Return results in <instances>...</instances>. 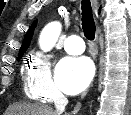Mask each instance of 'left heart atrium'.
Listing matches in <instances>:
<instances>
[{"label": "left heart atrium", "mask_w": 131, "mask_h": 115, "mask_svg": "<svg viewBox=\"0 0 131 115\" xmlns=\"http://www.w3.org/2000/svg\"><path fill=\"white\" fill-rule=\"evenodd\" d=\"M93 76V66L85 57L63 58L55 73L59 88L66 94L74 95L84 90Z\"/></svg>", "instance_id": "left-heart-atrium-1"}]
</instances>
